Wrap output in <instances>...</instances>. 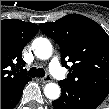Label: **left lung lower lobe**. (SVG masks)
Masks as SVG:
<instances>
[{"label": "left lung lower lobe", "instance_id": "0a47b994", "mask_svg": "<svg viewBox=\"0 0 109 109\" xmlns=\"http://www.w3.org/2000/svg\"><path fill=\"white\" fill-rule=\"evenodd\" d=\"M62 94L59 99L52 101L55 109H95L106 96L90 91L65 80L58 82Z\"/></svg>", "mask_w": 109, "mask_h": 109}]
</instances>
